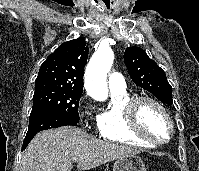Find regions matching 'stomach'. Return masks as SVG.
Returning <instances> with one entry per match:
<instances>
[{"label":"stomach","mask_w":199,"mask_h":171,"mask_svg":"<svg viewBox=\"0 0 199 171\" xmlns=\"http://www.w3.org/2000/svg\"><path fill=\"white\" fill-rule=\"evenodd\" d=\"M113 171H146V167L139 156L130 155L118 158L113 165Z\"/></svg>","instance_id":"1"}]
</instances>
